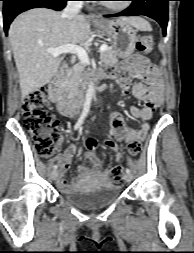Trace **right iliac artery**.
I'll list each match as a JSON object with an SVG mask.
<instances>
[{
	"label": "right iliac artery",
	"instance_id": "right-iliac-artery-1",
	"mask_svg": "<svg viewBox=\"0 0 194 253\" xmlns=\"http://www.w3.org/2000/svg\"><path fill=\"white\" fill-rule=\"evenodd\" d=\"M86 115H87L86 112H83V113L80 115V117H79L77 123H76L75 126H74V129H75V130H77L78 128H80V126H81L82 123L84 122V119H85ZM57 168H58L57 165H54V166H53V169H54V170H56Z\"/></svg>",
	"mask_w": 194,
	"mask_h": 253
}]
</instances>
